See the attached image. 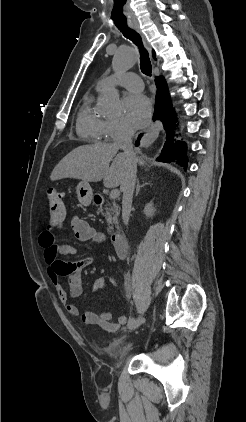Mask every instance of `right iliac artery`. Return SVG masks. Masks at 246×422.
<instances>
[{
    "instance_id": "1",
    "label": "right iliac artery",
    "mask_w": 246,
    "mask_h": 422,
    "mask_svg": "<svg viewBox=\"0 0 246 422\" xmlns=\"http://www.w3.org/2000/svg\"><path fill=\"white\" fill-rule=\"evenodd\" d=\"M135 322H136L135 318H131L128 322V327L132 328L134 326Z\"/></svg>"
}]
</instances>
